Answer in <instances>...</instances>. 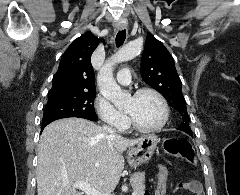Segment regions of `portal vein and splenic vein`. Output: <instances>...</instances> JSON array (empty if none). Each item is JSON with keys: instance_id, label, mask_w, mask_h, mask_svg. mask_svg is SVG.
Listing matches in <instances>:
<instances>
[{"instance_id": "18ae733b", "label": "portal vein and splenic vein", "mask_w": 240, "mask_h": 195, "mask_svg": "<svg viewBox=\"0 0 240 195\" xmlns=\"http://www.w3.org/2000/svg\"><path fill=\"white\" fill-rule=\"evenodd\" d=\"M73 187L82 189V191H85L86 195H106V193L97 191V189H95L91 183H88V181H75V183H73ZM132 195H136V193H132Z\"/></svg>"}]
</instances>
